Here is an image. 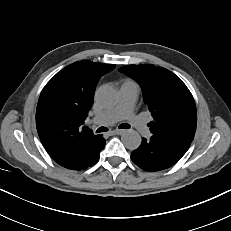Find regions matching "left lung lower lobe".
<instances>
[{
	"mask_svg": "<svg viewBox=\"0 0 231 231\" xmlns=\"http://www.w3.org/2000/svg\"><path fill=\"white\" fill-rule=\"evenodd\" d=\"M188 148L182 147L172 139L152 135L143 138L141 145L132 152V161L148 172L167 169L177 163Z\"/></svg>",
	"mask_w": 231,
	"mask_h": 231,
	"instance_id": "left-lung-lower-lobe-1",
	"label": "left lung lower lobe"
}]
</instances>
